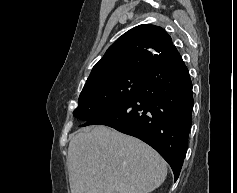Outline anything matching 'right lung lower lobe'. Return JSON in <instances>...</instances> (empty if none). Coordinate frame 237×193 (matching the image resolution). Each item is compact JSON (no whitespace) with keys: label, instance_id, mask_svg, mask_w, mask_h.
Returning a JSON list of instances; mask_svg holds the SVG:
<instances>
[{"label":"right lung lower lobe","instance_id":"right-lung-lower-lobe-1","mask_svg":"<svg viewBox=\"0 0 237 193\" xmlns=\"http://www.w3.org/2000/svg\"><path fill=\"white\" fill-rule=\"evenodd\" d=\"M192 107L190 75L175 51L156 62L126 103L82 126L106 125L141 139L169 163L176 181L187 151Z\"/></svg>","mask_w":237,"mask_h":193}]
</instances>
